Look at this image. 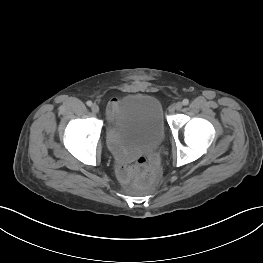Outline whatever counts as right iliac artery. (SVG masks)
<instances>
[{
    "label": "right iliac artery",
    "mask_w": 263,
    "mask_h": 263,
    "mask_svg": "<svg viewBox=\"0 0 263 263\" xmlns=\"http://www.w3.org/2000/svg\"><path fill=\"white\" fill-rule=\"evenodd\" d=\"M86 104L90 107L92 106V102L91 101H87Z\"/></svg>",
    "instance_id": "1"
}]
</instances>
